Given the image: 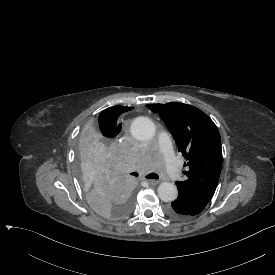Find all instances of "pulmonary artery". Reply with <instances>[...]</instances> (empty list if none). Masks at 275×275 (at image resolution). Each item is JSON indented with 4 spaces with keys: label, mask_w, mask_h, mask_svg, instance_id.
Instances as JSON below:
<instances>
[{
    "label": "pulmonary artery",
    "mask_w": 275,
    "mask_h": 275,
    "mask_svg": "<svg viewBox=\"0 0 275 275\" xmlns=\"http://www.w3.org/2000/svg\"><path fill=\"white\" fill-rule=\"evenodd\" d=\"M157 137L162 141L158 146V150L164 159L166 174L170 180L175 181L179 178L180 172L177 157L168 141L170 134L167 130L162 129L158 132Z\"/></svg>",
    "instance_id": "e3ab8cb5"
}]
</instances>
